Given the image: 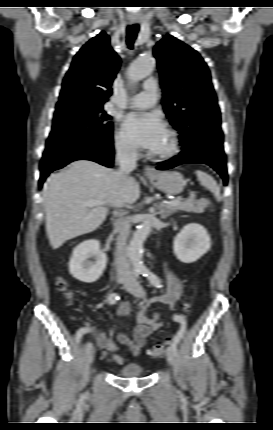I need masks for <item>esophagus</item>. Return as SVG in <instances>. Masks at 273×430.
Instances as JSON below:
<instances>
[{"label":"esophagus","instance_id":"1","mask_svg":"<svg viewBox=\"0 0 273 430\" xmlns=\"http://www.w3.org/2000/svg\"><path fill=\"white\" fill-rule=\"evenodd\" d=\"M155 173H156L155 169L150 166H146L144 168V174L147 176L155 175Z\"/></svg>","mask_w":273,"mask_h":430}]
</instances>
